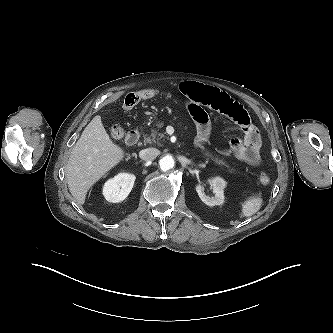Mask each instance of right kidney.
<instances>
[{
	"label": "right kidney",
	"mask_w": 333,
	"mask_h": 333,
	"mask_svg": "<svg viewBox=\"0 0 333 333\" xmlns=\"http://www.w3.org/2000/svg\"><path fill=\"white\" fill-rule=\"evenodd\" d=\"M135 176L128 173H120L109 179L103 186L105 199L112 203L123 201L131 192Z\"/></svg>",
	"instance_id": "obj_1"
}]
</instances>
